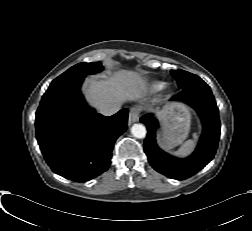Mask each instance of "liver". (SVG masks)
<instances>
[{
  "label": "liver",
  "mask_w": 252,
  "mask_h": 231,
  "mask_svg": "<svg viewBox=\"0 0 252 231\" xmlns=\"http://www.w3.org/2000/svg\"><path fill=\"white\" fill-rule=\"evenodd\" d=\"M147 92L146 81L136 72L119 70L110 77L88 79L84 94L96 108L115 102L137 101Z\"/></svg>",
  "instance_id": "1"
}]
</instances>
